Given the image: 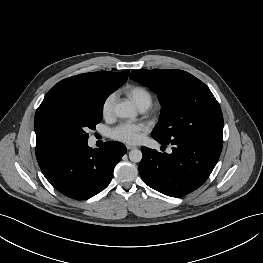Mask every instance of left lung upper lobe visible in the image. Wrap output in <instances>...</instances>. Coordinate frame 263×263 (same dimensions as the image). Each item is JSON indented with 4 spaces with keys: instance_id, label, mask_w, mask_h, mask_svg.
I'll list each match as a JSON object with an SVG mask.
<instances>
[{
    "instance_id": "1",
    "label": "left lung upper lobe",
    "mask_w": 263,
    "mask_h": 263,
    "mask_svg": "<svg viewBox=\"0 0 263 263\" xmlns=\"http://www.w3.org/2000/svg\"><path fill=\"white\" fill-rule=\"evenodd\" d=\"M130 77L150 87L161 102L152 137L165 144L175 139L222 138L223 115L210 89L188 72L135 70Z\"/></svg>"
}]
</instances>
